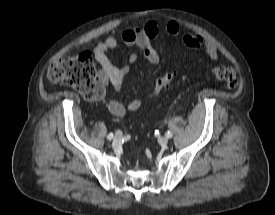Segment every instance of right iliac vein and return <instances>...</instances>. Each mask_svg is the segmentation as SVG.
I'll use <instances>...</instances> for the list:
<instances>
[{"label": "right iliac vein", "mask_w": 275, "mask_h": 215, "mask_svg": "<svg viewBox=\"0 0 275 215\" xmlns=\"http://www.w3.org/2000/svg\"><path fill=\"white\" fill-rule=\"evenodd\" d=\"M122 136H123V133L120 130L115 132V135H114L115 139L120 140Z\"/></svg>", "instance_id": "63e3f726"}]
</instances>
